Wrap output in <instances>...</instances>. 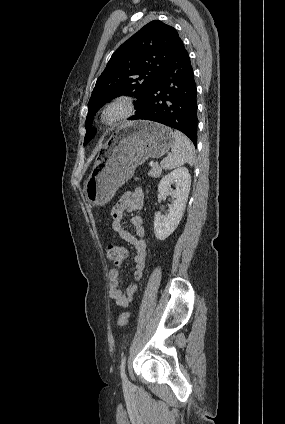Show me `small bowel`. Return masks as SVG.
Segmentation results:
<instances>
[{
  "label": "small bowel",
  "mask_w": 285,
  "mask_h": 424,
  "mask_svg": "<svg viewBox=\"0 0 285 424\" xmlns=\"http://www.w3.org/2000/svg\"><path fill=\"white\" fill-rule=\"evenodd\" d=\"M144 194L141 189L125 192L120 198L118 204L112 211V228L117 235L125 242L132 245L135 250L134 261V282L126 289L123 288L124 283L121 272L118 269H111L110 278V297L118 306L127 307L138 291V282L142 279L145 270L147 257V244L145 242L146 228L143 218L140 215L132 213L143 207ZM129 221L134 233L130 232L125 225ZM125 250V258L129 255L128 249ZM124 258V259H125Z\"/></svg>",
  "instance_id": "1"
}]
</instances>
